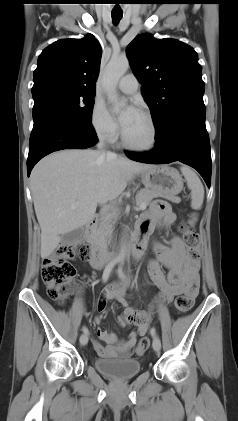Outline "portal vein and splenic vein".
I'll return each mask as SVG.
<instances>
[{
  "label": "portal vein and splenic vein",
  "mask_w": 238,
  "mask_h": 421,
  "mask_svg": "<svg viewBox=\"0 0 238 421\" xmlns=\"http://www.w3.org/2000/svg\"><path fill=\"white\" fill-rule=\"evenodd\" d=\"M77 205H78L77 203H73V204H71V208L72 209H76ZM138 209L139 210H145L146 209V206L145 205H140Z\"/></svg>",
  "instance_id": "1"
}]
</instances>
